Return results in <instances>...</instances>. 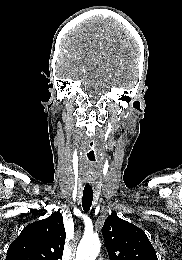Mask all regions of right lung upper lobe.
I'll return each instance as SVG.
<instances>
[{
    "instance_id": "cb5924a9",
    "label": "right lung upper lobe",
    "mask_w": 182,
    "mask_h": 260,
    "mask_svg": "<svg viewBox=\"0 0 182 260\" xmlns=\"http://www.w3.org/2000/svg\"><path fill=\"white\" fill-rule=\"evenodd\" d=\"M66 233L59 211L27 225L8 248L6 260H62Z\"/></svg>"
}]
</instances>
